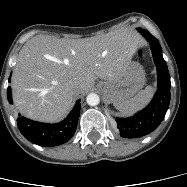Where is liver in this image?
I'll return each instance as SVG.
<instances>
[{
	"mask_svg": "<svg viewBox=\"0 0 187 187\" xmlns=\"http://www.w3.org/2000/svg\"><path fill=\"white\" fill-rule=\"evenodd\" d=\"M138 42V35L129 30L73 40L31 38L20 50L12 76L16 108L37 121L62 119L74 98L92 88L97 78L116 81L124 75Z\"/></svg>",
	"mask_w": 187,
	"mask_h": 187,
	"instance_id": "obj_1",
	"label": "liver"
}]
</instances>
